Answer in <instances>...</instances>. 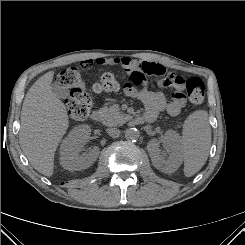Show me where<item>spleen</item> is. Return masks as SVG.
<instances>
[{
    "label": "spleen",
    "instance_id": "3e777b00",
    "mask_svg": "<svg viewBox=\"0 0 245 245\" xmlns=\"http://www.w3.org/2000/svg\"><path fill=\"white\" fill-rule=\"evenodd\" d=\"M210 145L208 113L197 110L186 118L183 125L182 153L185 176L191 177L203 167L208 158Z\"/></svg>",
    "mask_w": 245,
    "mask_h": 245
}]
</instances>
